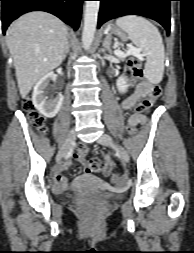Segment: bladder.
I'll list each match as a JSON object with an SVG mask.
<instances>
[{"mask_svg":"<svg viewBox=\"0 0 194 253\" xmlns=\"http://www.w3.org/2000/svg\"><path fill=\"white\" fill-rule=\"evenodd\" d=\"M116 196H117V194H115V193H109V194L105 195L106 198H114Z\"/></svg>","mask_w":194,"mask_h":253,"instance_id":"obj_1","label":"bladder"}]
</instances>
